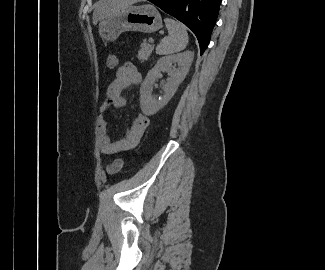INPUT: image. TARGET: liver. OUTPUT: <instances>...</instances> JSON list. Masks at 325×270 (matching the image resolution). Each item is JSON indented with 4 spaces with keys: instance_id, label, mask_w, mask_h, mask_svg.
<instances>
[{
    "instance_id": "6515ba94",
    "label": "liver",
    "mask_w": 325,
    "mask_h": 270,
    "mask_svg": "<svg viewBox=\"0 0 325 270\" xmlns=\"http://www.w3.org/2000/svg\"><path fill=\"white\" fill-rule=\"evenodd\" d=\"M131 5L130 0H99L93 12V24L96 25L104 17Z\"/></svg>"
}]
</instances>
